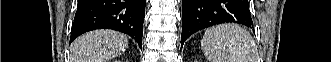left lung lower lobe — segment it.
<instances>
[{
    "label": "left lung lower lobe",
    "instance_id": "obj_1",
    "mask_svg": "<svg viewBox=\"0 0 331 62\" xmlns=\"http://www.w3.org/2000/svg\"><path fill=\"white\" fill-rule=\"evenodd\" d=\"M182 46L194 32L226 22L253 28L248 0H182Z\"/></svg>",
    "mask_w": 331,
    "mask_h": 62
}]
</instances>
